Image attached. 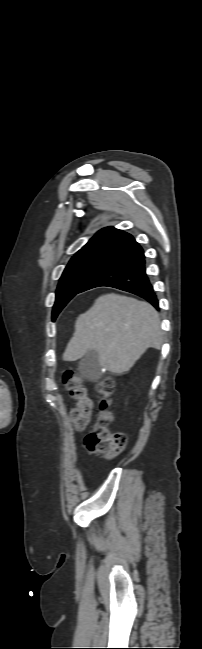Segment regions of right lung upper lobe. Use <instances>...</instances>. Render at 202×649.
Returning a JSON list of instances; mask_svg holds the SVG:
<instances>
[{
  "label": "right lung upper lobe",
  "mask_w": 202,
  "mask_h": 649,
  "mask_svg": "<svg viewBox=\"0 0 202 649\" xmlns=\"http://www.w3.org/2000/svg\"><path fill=\"white\" fill-rule=\"evenodd\" d=\"M139 245L128 233L113 227L98 231L76 254L109 253L119 255Z\"/></svg>",
  "instance_id": "1"
}]
</instances>
